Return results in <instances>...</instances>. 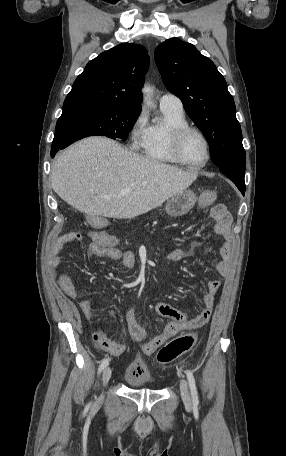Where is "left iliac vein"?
<instances>
[{"mask_svg":"<svg viewBox=\"0 0 286 456\" xmlns=\"http://www.w3.org/2000/svg\"><path fill=\"white\" fill-rule=\"evenodd\" d=\"M180 391H181V397H182V400H183V403H184L185 407L186 408H191L192 407V401H191V397H190V394H189L188 384H187V381L185 379H182L180 381Z\"/></svg>","mask_w":286,"mask_h":456,"instance_id":"1","label":"left iliac vein"}]
</instances>
